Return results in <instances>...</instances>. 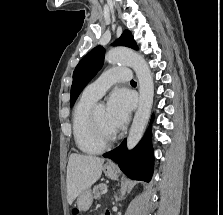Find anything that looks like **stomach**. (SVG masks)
<instances>
[{"label": "stomach", "instance_id": "0dacf381", "mask_svg": "<svg viewBox=\"0 0 223 215\" xmlns=\"http://www.w3.org/2000/svg\"><path fill=\"white\" fill-rule=\"evenodd\" d=\"M103 171L107 177H111V179H117V167L112 163V161H107L103 167ZM86 191H83V193H80L78 199H77V206L76 209H82V211H86V209H89L92 200L90 199V195Z\"/></svg>", "mask_w": 223, "mask_h": 215}]
</instances>
